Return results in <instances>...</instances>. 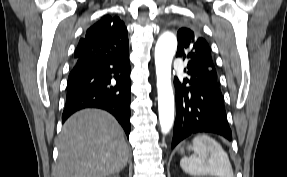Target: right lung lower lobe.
Wrapping results in <instances>:
<instances>
[{
  "label": "right lung lower lobe",
  "mask_w": 287,
  "mask_h": 177,
  "mask_svg": "<svg viewBox=\"0 0 287 177\" xmlns=\"http://www.w3.org/2000/svg\"><path fill=\"white\" fill-rule=\"evenodd\" d=\"M86 54L69 74L62 122L84 108H101L131 131V80L128 36L86 40Z\"/></svg>",
  "instance_id": "98d812e1"
}]
</instances>
